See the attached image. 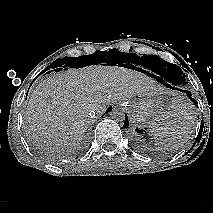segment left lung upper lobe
Masks as SVG:
<instances>
[{"label":"left lung upper lobe","instance_id":"left-lung-upper-lobe-1","mask_svg":"<svg viewBox=\"0 0 213 213\" xmlns=\"http://www.w3.org/2000/svg\"><path fill=\"white\" fill-rule=\"evenodd\" d=\"M144 60L149 66H146L145 63H142L143 66L159 71L169 77L174 85L183 86L186 84L185 75L183 71L177 65L169 63L165 60H162L156 55L140 57Z\"/></svg>","mask_w":213,"mask_h":213}]
</instances>
